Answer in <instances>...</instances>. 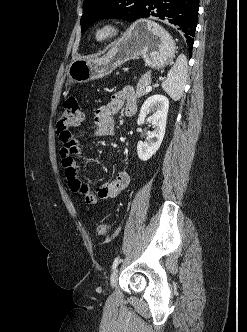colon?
I'll use <instances>...</instances> for the list:
<instances>
[{
    "mask_svg": "<svg viewBox=\"0 0 247 332\" xmlns=\"http://www.w3.org/2000/svg\"><path fill=\"white\" fill-rule=\"evenodd\" d=\"M82 107L75 97H69L64 103V110L59 115L56 132L63 144L69 145L74 141L72 129L78 127L83 121ZM100 237H109L111 225L105 222L98 223L95 228Z\"/></svg>",
    "mask_w": 247,
    "mask_h": 332,
    "instance_id": "1",
    "label": "colon"
}]
</instances>
